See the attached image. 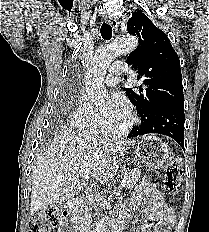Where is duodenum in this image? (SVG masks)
<instances>
[{
    "mask_svg": "<svg viewBox=\"0 0 209 232\" xmlns=\"http://www.w3.org/2000/svg\"><path fill=\"white\" fill-rule=\"evenodd\" d=\"M79 203V198L73 197L65 206L63 212V223L61 226L63 232H81V227L76 217V210L79 206ZM111 232H121V223L117 222L114 224Z\"/></svg>",
    "mask_w": 209,
    "mask_h": 232,
    "instance_id": "410a0bca",
    "label": "duodenum"
}]
</instances>
